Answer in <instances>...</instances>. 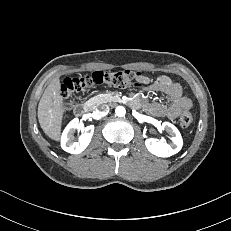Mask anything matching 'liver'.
I'll use <instances>...</instances> for the list:
<instances>
[{
  "mask_svg": "<svg viewBox=\"0 0 231 231\" xmlns=\"http://www.w3.org/2000/svg\"><path fill=\"white\" fill-rule=\"evenodd\" d=\"M60 79L54 78L45 89L38 104V120L44 133L59 141L64 116V101L60 91Z\"/></svg>",
  "mask_w": 231,
  "mask_h": 231,
  "instance_id": "obj_1",
  "label": "liver"
}]
</instances>
